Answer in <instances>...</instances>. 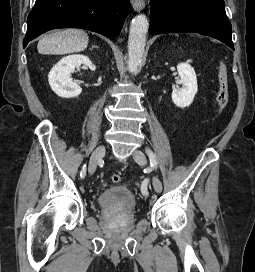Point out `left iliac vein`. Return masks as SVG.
Masks as SVG:
<instances>
[{
    "instance_id": "4c4485c4",
    "label": "left iliac vein",
    "mask_w": 255,
    "mask_h": 272,
    "mask_svg": "<svg viewBox=\"0 0 255 272\" xmlns=\"http://www.w3.org/2000/svg\"><path fill=\"white\" fill-rule=\"evenodd\" d=\"M133 158L140 165L146 164L145 154L141 150H138V149L135 150L133 152ZM152 183H153V187H154L155 191L157 193H160L162 191V183L157 176H155V175L153 176Z\"/></svg>"
}]
</instances>
